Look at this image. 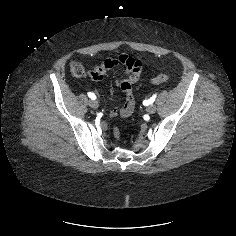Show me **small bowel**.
<instances>
[{
    "instance_id": "small-bowel-1",
    "label": "small bowel",
    "mask_w": 236,
    "mask_h": 236,
    "mask_svg": "<svg viewBox=\"0 0 236 236\" xmlns=\"http://www.w3.org/2000/svg\"><path fill=\"white\" fill-rule=\"evenodd\" d=\"M118 65L125 69V76L119 78L116 82L119 89L125 95V103L121 108H113L110 111V116L127 118L132 115L135 108L133 85L138 83L141 79L142 61L126 53H122L118 57L109 56L100 64L94 65L89 75L94 81H103L107 73Z\"/></svg>"
}]
</instances>
